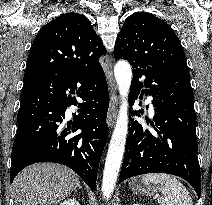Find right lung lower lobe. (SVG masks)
Returning <instances> with one entry per match:
<instances>
[{
    "instance_id": "1",
    "label": "right lung lower lobe",
    "mask_w": 212,
    "mask_h": 205,
    "mask_svg": "<svg viewBox=\"0 0 212 205\" xmlns=\"http://www.w3.org/2000/svg\"><path fill=\"white\" fill-rule=\"evenodd\" d=\"M76 95L84 102L78 103ZM20 100L10 181L33 163L57 162L73 169L94 191L107 141L109 93L103 69L24 82ZM71 105H78L79 114L66 122Z\"/></svg>"
}]
</instances>
